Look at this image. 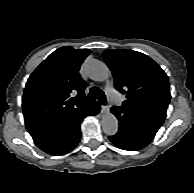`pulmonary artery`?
Masks as SVG:
<instances>
[{
  "instance_id": "pulmonary-artery-1",
  "label": "pulmonary artery",
  "mask_w": 194,
  "mask_h": 193,
  "mask_svg": "<svg viewBox=\"0 0 194 193\" xmlns=\"http://www.w3.org/2000/svg\"><path fill=\"white\" fill-rule=\"evenodd\" d=\"M107 93L114 104H116L117 106H120L122 104V98L116 90L108 88Z\"/></svg>"
}]
</instances>
